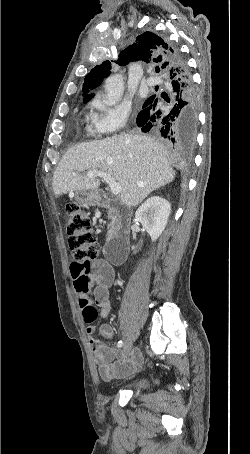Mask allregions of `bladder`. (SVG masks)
<instances>
[{
	"instance_id": "bladder-1",
	"label": "bladder",
	"mask_w": 250,
	"mask_h": 454,
	"mask_svg": "<svg viewBox=\"0 0 250 454\" xmlns=\"http://www.w3.org/2000/svg\"><path fill=\"white\" fill-rule=\"evenodd\" d=\"M150 386L151 378L148 375H141L121 382L118 389L136 393L146 391Z\"/></svg>"
}]
</instances>
